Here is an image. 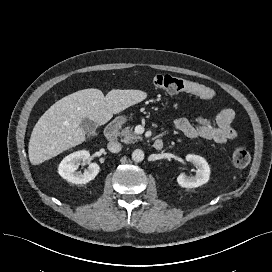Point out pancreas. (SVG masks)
Instances as JSON below:
<instances>
[{"label": "pancreas", "mask_w": 272, "mask_h": 272, "mask_svg": "<svg viewBox=\"0 0 272 272\" xmlns=\"http://www.w3.org/2000/svg\"><path fill=\"white\" fill-rule=\"evenodd\" d=\"M120 137L122 138V141L124 143H135L142 138L138 135H136L131 127H125L121 132H120Z\"/></svg>", "instance_id": "pancreas-1"}]
</instances>
